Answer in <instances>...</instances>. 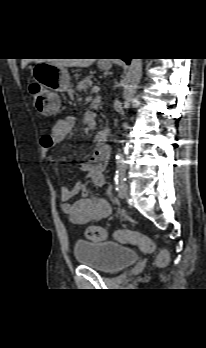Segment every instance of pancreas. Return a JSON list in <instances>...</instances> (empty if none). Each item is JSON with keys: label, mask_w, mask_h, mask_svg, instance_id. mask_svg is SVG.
<instances>
[{"label": "pancreas", "mask_w": 206, "mask_h": 348, "mask_svg": "<svg viewBox=\"0 0 206 348\" xmlns=\"http://www.w3.org/2000/svg\"><path fill=\"white\" fill-rule=\"evenodd\" d=\"M91 86H92V76H87L78 84L77 90L79 92L86 91V89Z\"/></svg>", "instance_id": "1"}]
</instances>
